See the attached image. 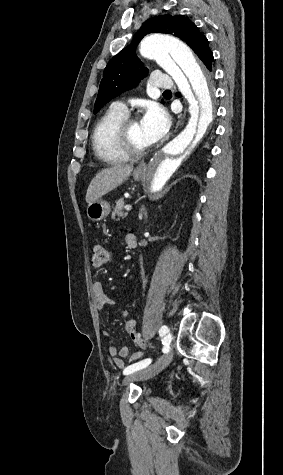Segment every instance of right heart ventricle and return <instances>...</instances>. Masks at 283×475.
Returning <instances> with one entry per match:
<instances>
[{"mask_svg": "<svg viewBox=\"0 0 283 475\" xmlns=\"http://www.w3.org/2000/svg\"><path fill=\"white\" fill-rule=\"evenodd\" d=\"M127 116V109L118 107L115 104L109 106L100 116L92 131V146L97 155L100 147L106 145L104 148L106 151L109 145L115 143L113 140L114 131Z\"/></svg>", "mask_w": 283, "mask_h": 475, "instance_id": "1", "label": "right heart ventricle"}]
</instances>
